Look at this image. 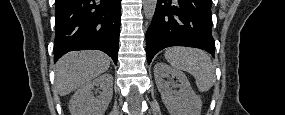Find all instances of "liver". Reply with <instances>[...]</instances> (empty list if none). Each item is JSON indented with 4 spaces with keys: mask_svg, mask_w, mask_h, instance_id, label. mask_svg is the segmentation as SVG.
<instances>
[{
    "mask_svg": "<svg viewBox=\"0 0 285 115\" xmlns=\"http://www.w3.org/2000/svg\"><path fill=\"white\" fill-rule=\"evenodd\" d=\"M110 58L96 50L75 51L64 55L55 65V85L65 96L108 70Z\"/></svg>",
    "mask_w": 285,
    "mask_h": 115,
    "instance_id": "6515ba94",
    "label": "liver"
}]
</instances>
